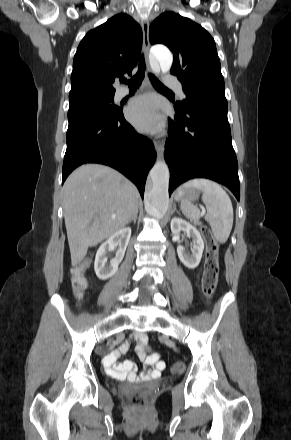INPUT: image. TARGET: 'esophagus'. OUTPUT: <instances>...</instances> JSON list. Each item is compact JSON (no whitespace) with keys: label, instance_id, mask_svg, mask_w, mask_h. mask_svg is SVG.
<instances>
[{"label":"esophagus","instance_id":"1","mask_svg":"<svg viewBox=\"0 0 291 440\" xmlns=\"http://www.w3.org/2000/svg\"><path fill=\"white\" fill-rule=\"evenodd\" d=\"M149 21L144 19L142 21V30H143V48H144V52H145V56H148V52H149V47H150V42H149ZM148 71H150L149 67H148ZM145 82L146 84L150 83L149 77L146 73L145 76ZM155 150L157 153V159H161L162 155L164 153V144L161 141H157L155 144Z\"/></svg>","mask_w":291,"mask_h":440}]
</instances>
